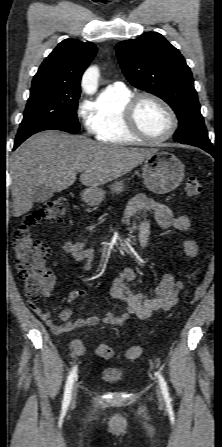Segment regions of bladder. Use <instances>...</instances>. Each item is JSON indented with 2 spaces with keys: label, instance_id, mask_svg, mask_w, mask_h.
Wrapping results in <instances>:
<instances>
[{
  "label": "bladder",
  "instance_id": "31cf9c89",
  "mask_svg": "<svg viewBox=\"0 0 222 447\" xmlns=\"http://www.w3.org/2000/svg\"><path fill=\"white\" fill-rule=\"evenodd\" d=\"M100 377L108 383H115L123 379V372L116 369H103L100 373Z\"/></svg>",
  "mask_w": 222,
  "mask_h": 447
}]
</instances>
